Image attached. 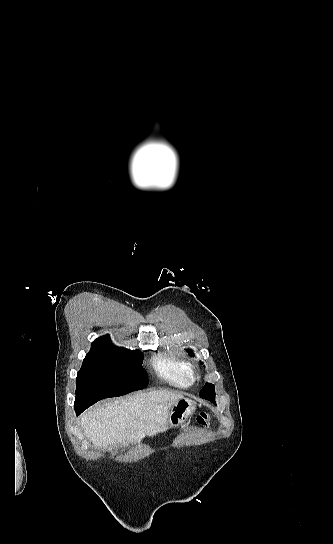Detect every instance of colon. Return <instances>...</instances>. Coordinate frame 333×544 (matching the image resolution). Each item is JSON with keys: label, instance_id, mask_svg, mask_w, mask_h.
Instances as JSON below:
<instances>
[{"label": "colon", "instance_id": "1", "mask_svg": "<svg viewBox=\"0 0 333 544\" xmlns=\"http://www.w3.org/2000/svg\"><path fill=\"white\" fill-rule=\"evenodd\" d=\"M212 420V415L209 412H202L198 415L196 423L200 427H208Z\"/></svg>", "mask_w": 333, "mask_h": 544}]
</instances>
